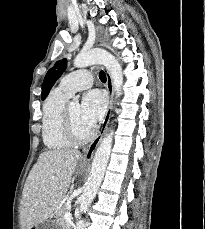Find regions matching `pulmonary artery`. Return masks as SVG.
I'll return each instance as SVG.
<instances>
[{"instance_id": "1", "label": "pulmonary artery", "mask_w": 205, "mask_h": 229, "mask_svg": "<svg viewBox=\"0 0 205 229\" xmlns=\"http://www.w3.org/2000/svg\"><path fill=\"white\" fill-rule=\"evenodd\" d=\"M93 83V76L90 71L81 69L64 76L59 84V89L72 96L75 92L90 87Z\"/></svg>"}]
</instances>
